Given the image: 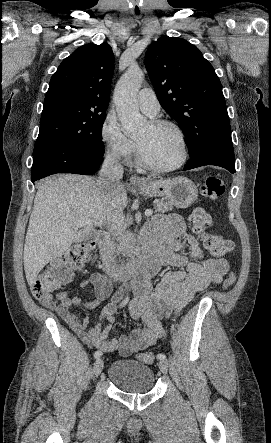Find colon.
I'll list each match as a JSON object with an SVG mask.
<instances>
[{"label":"colon","instance_id":"5ec220e1","mask_svg":"<svg viewBox=\"0 0 271 443\" xmlns=\"http://www.w3.org/2000/svg\"><path fill=\"white\" fill-rule=\"evenodd\" d=\"M225 192L224 182L216 176L208 177L201 187L204 197L214 200L221 197ZM190 222L195 233H197L205 248L212 257L221 258L230 253L234 244L224 236L208 232L213 225L212 216L203 208L195 209ZM94 251V243L85 242L67 250L62 256L46 266L31 284V292L37 299H43L51 295L69 282L74 271L79 270L91 258ZM234 273H229L223 282L225 289L230 288L235 282ZM138 359L143 363H152L155 356L150 352H142Z\"/></svg>","mask_w":271,"mask_h":443}]
</instances>
